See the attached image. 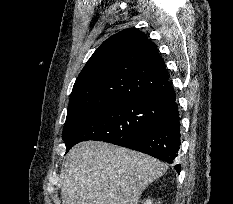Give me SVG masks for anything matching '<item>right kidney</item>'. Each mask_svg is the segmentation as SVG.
<instances>
[{
  "instance_id": "ca27d5eb",
  "label": "right kidney",
  "mask_w": 233,
  "mask_h": 204,
  "mask_svg": "<svg viewBox=\"0 0 233 204\" xmlns=\"http://www.w3.org/2000/svg\"><path fill=\"white\" fill-rule=\"evenodd\" d=\"M143 204H152L151 200H147L146 202H144Z\"/></svg>"
}]
</instances>
